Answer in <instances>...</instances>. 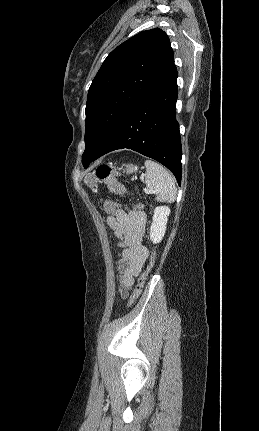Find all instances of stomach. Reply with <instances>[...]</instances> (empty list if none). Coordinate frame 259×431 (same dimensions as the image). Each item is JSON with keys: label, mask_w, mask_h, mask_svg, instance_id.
<instances>
[{"label": "stomach", "mask_w": 259, "mask_h": 431, "mask_svg": "<svg viewBox=\"0 0 259 431\" xmlns=\"http://www.w3.org/2000/svg\"><path fill=\"white\" fill-rule=\"evenodd\" d=\"M137 170H138V167L133 165V164H128V165H126V168H125V171L127 174L134 173ZM98 182H99V179L97 178V176L94 173H90L84 178V183L89 188L96 187Z\"/></svg>", "instance_id": "stomach-1"}]
</instances>
